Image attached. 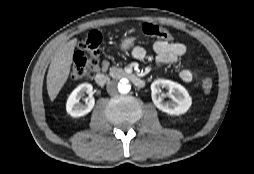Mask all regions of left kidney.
Instances as JSON below:
<instances>
[{"label": "left kidney", "instance_id": "5707ae66", "mask_svg": "<svg viewBox=\"0 0 254 174\" xmlns=\"http://www.w3.org/2000/svg\"><path fill=\"white\" fill-rule=\"evenodd\" d=\"M161 88L168 89L171 102H165L160 95ZM152 101L155 106L170 115H181L187 112L192 104V98L188 91L177 82L158 79L151 84Z\"/></svg>", "mask_w": 254, "mask_h": 174}]
</instances>
